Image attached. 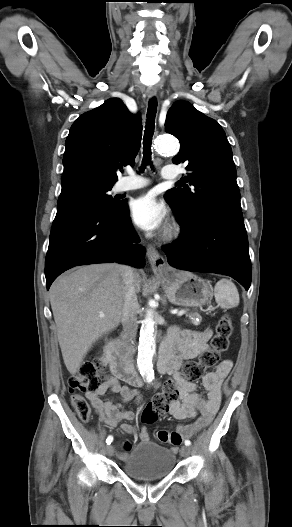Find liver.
Here are the masks:
<instances>
[{
  "mask_svg": "<svg viewBox=\"0 0 292 527\" xmlns=\"http://www.w3.org/2000/svg\"><path fill=\"white\" fill-rule=\"evenodd\" d=\"M123 274L124 266L120 264H94L78 267L51 285L49 296L58 341L72 375L95 341L119 325L124 303ZM134 280L139 292L141 277L137 271Z\"/></svg>",
  "mask_w": 292,
  "mask_h": 527,
  "instance_id": "6515ba94",
  "label": "liver"
}]
</instances>
